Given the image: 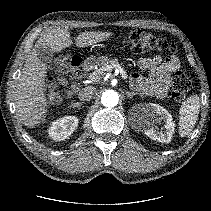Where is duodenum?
I'll return each instance as SVG.
<instances>
[{
  "instance_id": "1",
  "label": "duodenum",
  "mask_w": 211,
  "mask_h": 211,
  "mask_svg": "<svg viewBox=\"0 0 211 211\" xmlns=\"http://www.w3.org/2000/svg\"><path fill=\"white\" fill-rule=\"evenodd\" d=\"M96 65L95 59H88L83 64H81L80 68L78 70H75V73L73 74V77L77 78L82 76L84 73L92 70L94 66Z\"/></svg>"
}]
</instances>
